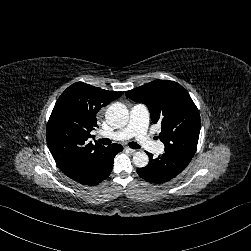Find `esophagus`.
Returning <instances> with one entry per match:
<instances>
[{
  "label": "esophagus",
  "instance_id": "1",
  "mask_svg": "<svg viewBox=\"0 0 251 251\" xmlns=\"http://www.w3.org/2000/svg\"><path fill=\"white\" fill-rule=\"evenodd\" d=\"M127 149H128L130 154H134V153H136L138 151L136 149H132V148H129V147Z\"/></svg>",
  "mask_w": 251,
  "mask_h": 251
}]
</instances>
